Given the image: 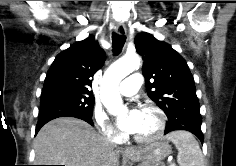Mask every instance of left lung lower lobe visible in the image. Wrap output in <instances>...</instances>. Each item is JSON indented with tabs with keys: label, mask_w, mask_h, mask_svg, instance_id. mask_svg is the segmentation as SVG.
<instances>
[{
	"label": "left lung lower lobe",
	"mask_w": 236,
	"mask_h": 166,
	"mask_svg": "<svg viewBox=\"0 0 236 166\" xmlns=\"http://www.w3.org/2000/svg\"><path fill=\"white\" fill-rule=\"evenodd\" d=\"M201 122L199 103H192L189 110L168 118L165 134L176 130H186L196 135L203 143L204 137L201 131Z\"/></svg>",
	"instance_id": "1"
}]
</instances>
